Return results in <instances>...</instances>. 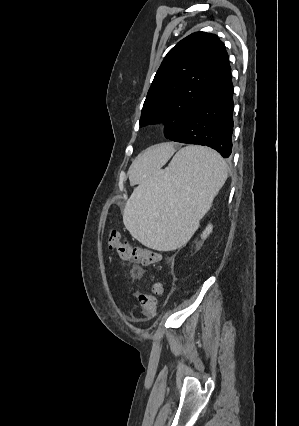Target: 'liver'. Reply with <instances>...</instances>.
<instances>
[{
	"instance_id": "liver-1",
	"label": "liver",
	"mask_w": 299,
	"mask_h": 426,
	"mask_svg": "<svg viewBox=\"0 0 299 426\" xmlns=\"http://www.w3.org/2000/svg\"><path fill=\"white\" fill-rule=\"evenodd\" d=\"M172 143L154 145L140 153L129 169L131 181H140L158 170L174 154Z\"/></svg>"
}]
</instances>
